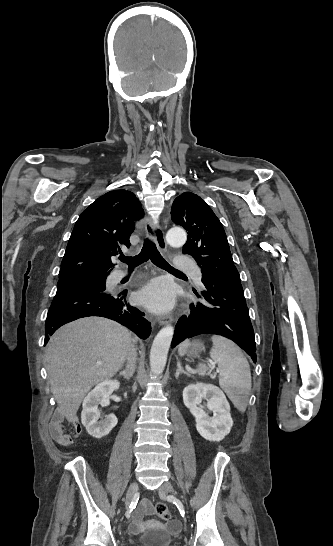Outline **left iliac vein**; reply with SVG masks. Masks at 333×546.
<instances>
[{
	"label": "left iliac vein",
	"mask_w": 333,
	"mask_h": 546,
	"mask_svg": "<svg viewBox=\"0 0 333 546\" xmlns=\"http://www.w3.org/2000/svg\"><path fill=\"white\" fill-rule=\"evenodd\" d=\"M159 493L160 494H174V490H173V487H172L171 483H169V482L164 483L160 487Z\"/></svg>",
	"instance_id": "1"
}]
</instances>
